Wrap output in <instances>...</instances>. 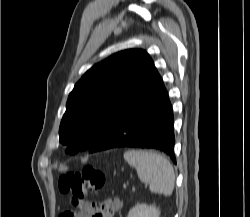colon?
I'll return each instance as SVG.
<instances>
[{
  "mask_svg": "<svg viewBox=\"0 0 250 217\" xmlns=\"http://www.w3.org/2000/svg\"><path fill=\"white\" fill-rule=\"evenodd\" d=\"M106 184V178L102 171L93 166H85L80 171L68 172L60 176L58 186L62 193L73 197L74 209L67 210L59 217H69L78 212L87 217H101V204L87 202L82 198L90 193H96Z\"/></svg>",
  "mask_w": 250,
  "mask_h": 217,
  "instance_id": "1",
  "label": "colon"
}]
</instances>
